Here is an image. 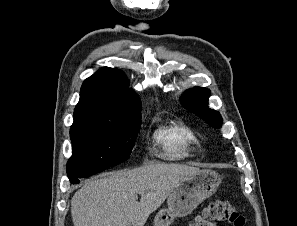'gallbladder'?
<instances>
[{"label":"gallbladder","instance_id":"1","mask_svg":"<svg viewBox=\"0 0 297 226\" xmlns=\"http://www.w3.org/2000/svg\"><path fill=\"white\" fill-rule=\"evenodd\" d=\"M128 226H135L134 224H129Z\"/></svg>","mask_w":297,"mask_h":226}]
</instances>
